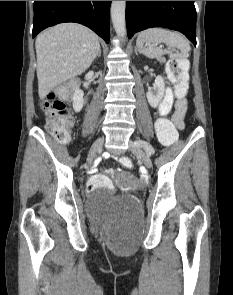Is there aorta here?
<instances>
[{
    "label": "aorta",
    "instance_id": "obj_1",
    "mask_svg": "<svg viewBox=\"0 0 233 295\" xmlns=\"http://www.w3.org/2000/svg\"><path fill=\"white\" fill-rule=\"evenodd\" d=\"M125 9L126 1H112V23L117 35L122 38L126 37Z\"/></svg>",
    "mask_w": 233,
    "mask_h": 295
}]
</instances>
